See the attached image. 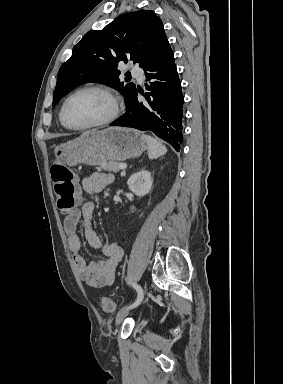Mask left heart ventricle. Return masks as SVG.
<instances>
[{"label":"left heart ventricle","mask_w":283,"mask_h":384,"mask_svg":"<svg viewBox=\"0 0 283 384\" xmlns=\"http://www.w3.org/2000/svg\"><path fill=\"white\" fill-rule=\"evenodd\" d=\"M110 104L105 96L96 92H84L72 97L65 108L67 125L80 127L105 117Z\"/></svg>","instance_id":"obj_1"}]
</instances>
